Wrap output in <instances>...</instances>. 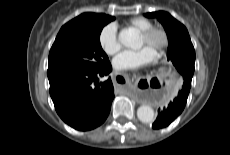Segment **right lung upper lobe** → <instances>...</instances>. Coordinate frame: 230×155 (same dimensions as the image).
Wrapping results in <instances>:
<instances>
[{
	"label": "right lung upper lobe",
	"instance_id": "right-lung-upper-lobe-1",
	"mask_svg": "<svg viewBox=\"0 0 230 155\" xmlns=\"http://www.w3.org/2000/svg\"><path fill=\"white\" fill-rule=\"evenodd\" d=\"M103 16H109V15L96 14V13H83L78 17L74 18L73 20L69 21L68 23H66L61 28V30L86 27Z\"/></svg>",
	"mask_w": 230,
	"mask_h": 155
}]
</instances>
